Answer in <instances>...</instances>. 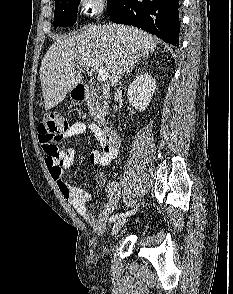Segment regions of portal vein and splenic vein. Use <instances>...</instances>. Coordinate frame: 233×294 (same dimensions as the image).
Segmentation results:
<instances>
[{
  "instance_id": "18ae733b",
  "label": "portal vein and splenic vein",
  "mask_w": 233,
  "mask_h": 294,
  "mask_svg": "<svg viewBox=\"0 0 233 294\" xmlns=\"http://www.w3.org/2000/svg\"><path fill=\"white\" fill-rule=\"evenodd\" d=\"M80 66L92 67L97 72V80L99 82H105L108 78V71L104 68L103 63L95 59H84Z\"/></svg>"
}]
</instances>
